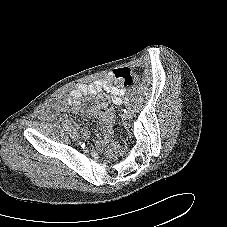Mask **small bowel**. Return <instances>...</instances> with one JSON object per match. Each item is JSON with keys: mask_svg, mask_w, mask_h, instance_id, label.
<instances>
[{"mask_svg": "<svg viewBox=\"0 0 227 227\" xmlns=\"http://www.w3.org/2000/svg\"><path fill=\"white\" fill-rule=\"evenodd\" d=\"M114 73L107 74L104 78L98 79L91 83H80L77 84L68 95L56 98L55 100L48 103L41 112L42 118L47 122L54 121L61 112L68 108L75 114H87L90 116L98 117L102 123L110 127L114 113L111 107L106 111H101L98 106L83 107L81 101L83 97H95L101 92H107L112 96V102L115 105L122 103L124 97V90L116 87L113 84ZM81 131L83 138L89 137V130L84 126H77Z\"/></svg>", "mask_w": 227, "mask_h": 227, "instance_id": "obj_1", "label": "small bowel"}]
</instances>
